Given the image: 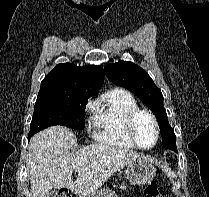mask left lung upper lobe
Masks as SVG:
<instances>
[{
  "label": "left lung upper lobe",
  "instance_id": "left-lung-upper-lobe-1",
  "mask_svg": "<svg viewBox=\"0 0 209 197\" xmlns=\"http://www.w3.org/2000/svg\"><path fill=\"white\" fill-rule=\"evenodd\" d=\"M108 79L135 93L142 102L155 114L165 148H176V136L168 122L163 105L161 90L154 84L148 73L130 61H120L104 67Z\"/></svg>",
  "mask_w": 209,
  "mask_h": 197
}]
</instances>
